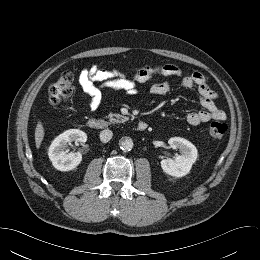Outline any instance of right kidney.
<instances>
[{
    "mask_svg": "<svg viewBox=\"0 0 260 260\" xmlns=\"http://www.w3.org/2000/svg\"><path fill=\"white\" fill-rule=\"evenodd\" d=\"M85 143L87 135L79 129H70L57 136L51 143L48 156L53 166L60 171L75 169L82 161L80 152L68 153L67 145L71 142Z\"/></svg>",
    "mask_w": 260,
    "mask_h": 260,
    "instance_id": "1",
    "label": "right kidney"
}]
</instances>
